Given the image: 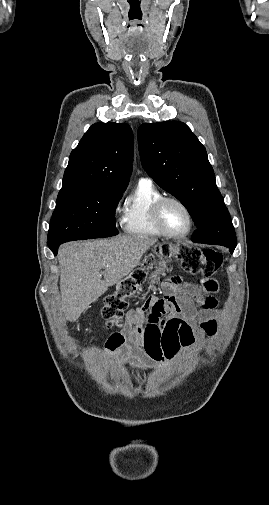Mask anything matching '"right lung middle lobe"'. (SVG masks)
Segmentation results:
<instances>
[{
  "instance_id": "dd1d6c3e",
  "label": "right lung middle lobe",
  "mask_w": 269,
  "mask_h": 505,
  "mask_svg": "<svg viewBox=\"0 0 269 505\" xmlns=\"http://www.w3.org/2000/svg\"><path fill=\"white\" fill-rule=\"evenodd\" d=\"M125 190L61 189L51 218L48 245L117 235L115 209Z\"/></svg>"
}]
</instances>
